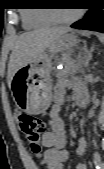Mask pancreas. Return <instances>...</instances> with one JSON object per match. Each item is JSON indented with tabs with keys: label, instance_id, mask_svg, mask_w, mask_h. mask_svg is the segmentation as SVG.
<instances>
[{
	"label": "pancreas",
	"instance_id": "1",
	"mask_svg": "<svg viewBox=\"0 0 104 169\" xmlns=\"http://www.w3.org/2000/svg\"><path fill=\"white\" fill-rule=\"evenodd\" d=\"M61 61L64 67L63 69L56 71L58 79L66 78L69 75L75 73L78 67L80 66V63L72 59L69 54L63 55Z\"/></svg>",
	"mask_w": 104,
	"mask_h": 169
}]
</instances>
